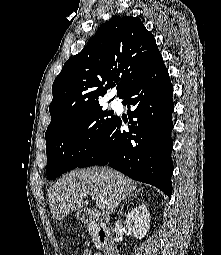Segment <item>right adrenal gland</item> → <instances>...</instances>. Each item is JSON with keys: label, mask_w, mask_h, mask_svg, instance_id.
<instances>
[{"label": "right adrenal gland", "mask_w": 221, "mask_h": 255, "mask_svg": "<svg viewBox=\"0 0 221 255\" xmlns=\"http://www.w3.org/2000/svg\"><path fill=\"white\" fill-rule=\"evenodd\" d=\"M142 193H143L142 190H138L135 194H132L131 196H129V197L125 200L124 204L122 205L119 214H120V215L123 214V209H124L125 203H126L127 201H130V200H133L134 198H137V195H138V194H142Z\"/></svg>", "instance_id": "right-adrenal-gland-1"}]
</instances>
